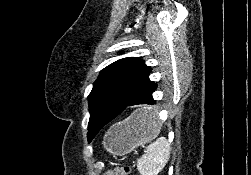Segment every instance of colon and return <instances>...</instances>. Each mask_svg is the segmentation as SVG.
<instances>
[{"instance_id": "obj_1", "label": "colon", "mask_w": 251, "mask_h": 175, "mask_svg": "<svg viewBox=\"0 0 251 175\" xmlns=\"http://www.w3.org/2000/svg\"><path fill=\"white\" fill-rule=\"evenodd\" d=\"M130 172V167L127 165H120L108 169L103 175H128Z\"/></svg>"}]
</instances>
